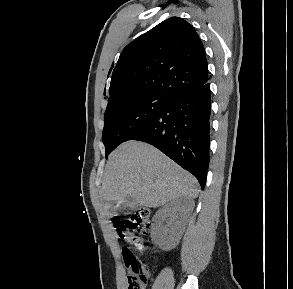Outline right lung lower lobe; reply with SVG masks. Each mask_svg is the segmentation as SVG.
<instances>
[{
	"mask_svg": "<svg viewBox=\"0 0 293 289\" xmlns=\"http://www.w3.org/2000/svg\"><path fill=\"white\" fill-rule=\"evenodd\" d=\"M210 84L182 93L128 140L147 142L187 169L205 187L210 146Z\"/></svg>",
	"mask_w": 293,
	"mask_h": 289,
	"instance_id": "98d812e1",
	"label": "right lung lower lobe"
}]
</instances>
